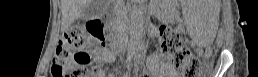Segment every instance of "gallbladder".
Wrapping results in <instances>:
<instances>
[{
    "label": "gallbladder",
    "mask_w": 258,
    "mask_h": 77,
    "mask_svg": "<svg viewBox=\"0 0 258 77\" xmlns=\"http://www.w3.org/2000/svg\"><path fill=\"white\" fill-rule=\"evenodd\" d=\"M96 2L97 1L95 0H91V2L87 4L86 8L83 11V18L87 19L99 14L102 8L98 7L96 5Z\"/></svg>",
    "instance_id": "obj_1"
}]
</instances>
